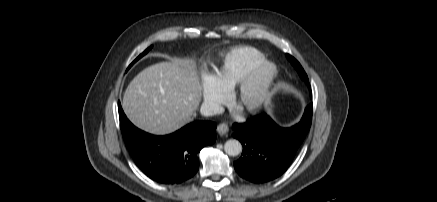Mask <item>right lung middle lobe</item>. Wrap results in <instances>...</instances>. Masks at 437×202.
Here are the masks:
<instances>
[{
	"mask_svg": "<svg viewBox=\"0 0 437 202\" xmlns=\"http://www.w3.org/2000/svg\"><path fill=\"white\" fill-rule=\"evenodd\" d=\"M152 48V46H150L148 49H146L142 54H140L134 61L132 64H134L138 59H140L142 56H144L150 49ZM131 64V65H132ZM130 65V66H131Z\"/></svg>",
	"mask_w": 437,
	"mask_h": 202,
	"instance_id": "right-lung-middle-lobe-1",
	"label": "right lung middle lobe"
}]
</instances>
